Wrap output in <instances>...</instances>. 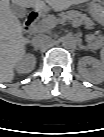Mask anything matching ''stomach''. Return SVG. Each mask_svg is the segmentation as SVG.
<instances>
[{
    "label": "stomach",
    "instance_id": "0dacf381",
    "mask_svg": "<svg viewBox=\"0 0 104 137\" xmlns=\"http://www.w3.org/2000/svg\"><path fill=\"white\" fill-rule=\"evenodd\" d=\"M103 2L101 0H92L89 4V8L93 16L98 17L101 16L103 6Z\"/></svg>",
    "mask_w": 104,
    "mask_h": 137
}]
</instances>
